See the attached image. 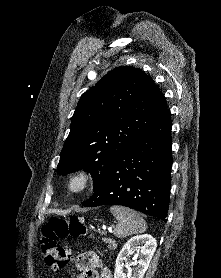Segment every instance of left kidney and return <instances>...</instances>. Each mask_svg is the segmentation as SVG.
<instances>
[{
	"label": "left kidney",
	"mask_w": 221,
	"mask_h": 278,
	"mask_svg": "<svg viewBox=\"0 0 221 278\" xmlns=\"http://www.w3.org/2000/svg\"><path fill=\"white\" fill-rule=\"evenodd\" d=\"M156 247V239L148 234L137 235L129 239L121 249L116 259L114 278H143ZM139 250L140 260L132 262V264L136 266L135 270H128L126 275L123 272V267L128 265L125 264L126 257Z\"/></svg>",
	"instance_id": "left-kidney-1"
}]
</instances>
